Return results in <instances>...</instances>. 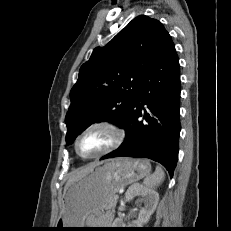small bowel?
Returning a JSON list of instances; mask_svg holds the SVG:
<instances>
[{
  "mask_svg": "<svg viewBox=\"0 0 231 231\" xmlns=\"http://www.w3.org/2000/svg\"><path fill=\"white\" fill-rule=\"evenodd\" d=\"M102 219L105 220V221L110 220L111 219V214L108 213V212L104 213L103 216H102Z\"/></svg>",
  "mask_w": 231,
  "mask_h": 231,
  "instance_id": "c3829d8e",
  "label": "small bowel"
}]
</instances>
